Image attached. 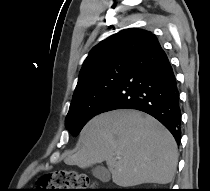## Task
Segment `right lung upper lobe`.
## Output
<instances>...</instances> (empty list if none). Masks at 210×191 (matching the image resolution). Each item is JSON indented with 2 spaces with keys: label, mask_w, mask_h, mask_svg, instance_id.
Instances as JSON below:
<instances>
[{
  "label": "right lung upper lobe",
  "mask_w": 210,
  "mask_h": 191,
  "mask_svg": "<svg viewBox=\"0 0 210 191\" xmlns=\"http://www.w3.org/2000/svg\"><path fill=\"white\" fill-rule=\"evenodd\" d=\"M151 36V32L129 28L100 42L85 59L75 91L99 68L113 61L131 60Z\"/></svg>",
  "instance_id": "right-lung-upper-lobe-1"
}]
</instances>
